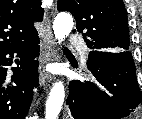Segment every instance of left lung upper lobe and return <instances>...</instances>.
Here are the masks:
<instances>
[{"mask_svg":"<svg viewBox=\"0 0 142 119\" xmlns=\"http://www.w3.org/2000/svg\"><path fill=\"white\" fill-rule=\"evenodd\" d=\"M57 8L71 12L77 31L83 34L91 50L129 51L127 14L122 0H58Z\"/></svg>","mask_w":142,"mask_h":119,"instance_id":"1","label":"left lung upper lobe"}]
</instances>
